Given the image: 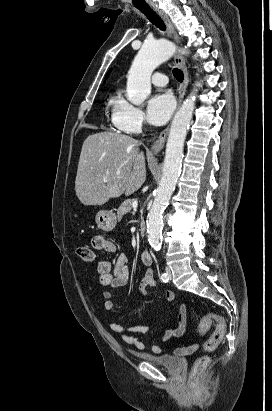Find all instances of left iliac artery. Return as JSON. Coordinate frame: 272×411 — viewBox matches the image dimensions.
<instances>
[{"instance_id":"left-iliac-artery-1","label":"left iliac artery","mask_w":272,"mask_h":411,"mask_svg":"<svg viewBox=\"0 0 272 411\" xmlns=\"http://www.w3.org/2000/svg\"><path fill=\"white\" fill-rule=\"evenodd\" d=\"M161 279H162L163 282H168V280H169V278H168V276H167L166 273H163V274L161 275Z\"/></svg>"}]
</instances>
